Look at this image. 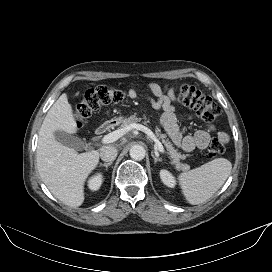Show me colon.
<instances>
[{"mask_svg":"<svg viewBox=\"0 0 272 272\" xmlns=\"http://www.w3.org/2000/svg\"><path fill=\"white\" fill-rule=\"evenodd\" d=\"M123 97L124 93L117 87L98 86L89 89L84 94L82 100L77 103L75 116L81 122L99 108L119 102ZM178 99L183 105L194 110L206 120H214L221 114L220 107L212 98L204 95L193 86L181 85L178 89ZM223 152V143L218 139H213L208 146V155L214 158Z\"/></svg>","mask_w":272,"mask_h":272,"instance_id":"colon-1","label":"colon"}]
</instances>
